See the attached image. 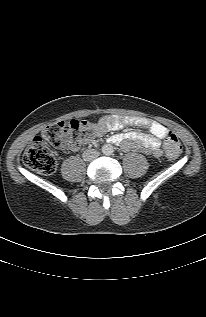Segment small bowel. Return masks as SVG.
Segmentation results:
<instances>
[{"label": "small bowel", "mask_w": 206, "mask_h": 317, "mask_svg": "<svg viewBox=\"0 0 206 317\" xmlns=\"http://www.w3.org/2000/svg\"><path fill=\"white\" fill-rule=\"evenodd\" d=\"M129 126H142L147 128L149 132L128 131L117 133L112 135L109 141L121 145L124 150L139 148L151 157L162 155L161 140L166 138L169 130L157 121L139 116L111 115L102 118L95 129L96 134L100 135L106 130L118 131ZM79 146L80 143L72 146L71 149L77 150Z\"/></svg>", "instance_id": "1"}]
</instances>
